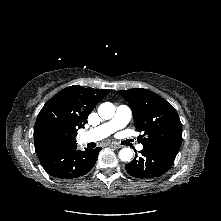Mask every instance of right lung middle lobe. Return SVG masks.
Returning a JSON list of instances; mask_svg holds the SVG:
<instances>
[{
  "label": "right lung middle lobe",
  "instance_id": "right-lung-middle-lobe-1",
  "mask_svg": "<svg viewBox=\"0 0 221 221\" xmlns=\"http://www.w3.org/2000/svg\"><path fill=\"white\" fill-rule=\"evenodd\" d=\"M75 135L60 129H46L41 134V144L46 147H57L76 142Z\"/></svg>",
  "mask_w": 221,
  "mask_h": 221
}]
</instances>
